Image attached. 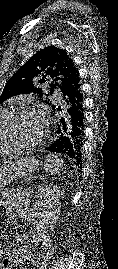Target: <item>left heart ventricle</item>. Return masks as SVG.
Returning a JSON list of instances; mask_svg holds the SVG:
<instances>
[{"instance_id":"obj_1","label":"left heart ventricle","mask_w":118,"mask_h":269,"mask_svg":"<svg viewBox=\"0 0 118 269\" xmlns=\"http://www.w3.org/2000/svg\"><path fill=\"white\" fill-rule=\"evenodd\" d=\"M44 133V122H42L36 112H28L19 117L9 132L17 140L25 142H35Z\"/></svg>"}]
</instances>
